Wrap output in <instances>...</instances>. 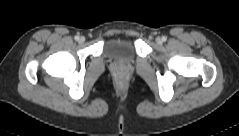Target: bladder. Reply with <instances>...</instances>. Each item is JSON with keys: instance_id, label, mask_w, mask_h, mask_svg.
<instances>
[{"instance_id": "bladder-1", "label": "bladder", "mask_w": 239, "mask_h": 136, "mask_svg": "<svg viewBox=\"0 0 239 136\" xmlns=\"http://www.w3.org/2000/svg\"><path fill=\"white\" fill-rule=\"evenodd\" d=\"M136 50L135 41L130 37H111L105 43V55L115 60H128L134 58Z\"/></svg>"}]
</instances>
